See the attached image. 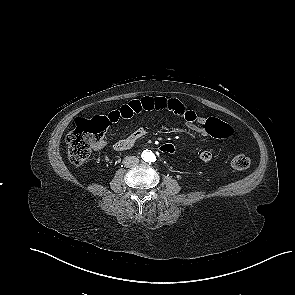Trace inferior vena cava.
<instances>
[{
	"label": "inferior vena cava",
	"mask_w": 295,
	"mask_h": 295,
	"mask_svg": "<svg viewBox=\"0 0 295 295\" xmlns=\"http://www.w3.org/2000/svg\"><path fill=\"white\" fill-rule=\"evenodd\" d=\"M123 163L125 167L130 168L138 165L139 159L135 156H127L124 158Z\"/></svg>",
	"instance_id": "602c4592"
}]
</instances>
